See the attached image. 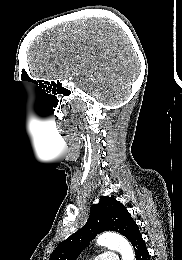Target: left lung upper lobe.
I'll use <instances>...</instances> for the list:
<instances>
[{"instance_id": "obj_1", "label": "left lung upper lobe", "mask_w": 182, "mask_h": 260, "mask_svg": "<svg viewBox=\"0 0 182 260\" xmlns=\"http://www.w3.org/2000/svg\"><path fill=\"white\" fill-rule=\"evenodd\" d=\"M136 226L123 204L113 197L103 196L98 204L91 206L86 225L61 242L49 260H76L87 244L101 231H116L128 238Z\"/></svg>"}]
</instances>
